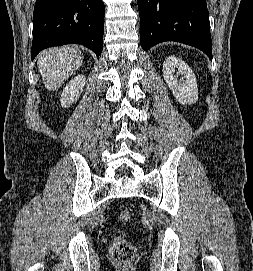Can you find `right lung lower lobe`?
I'll list each match as a JSON object with an SVG mask.
<instances>
[{
    "label": "right lung lower lobe",
    "instance_id": "1",
    "mask_svg": "<svg viewBox=\"0 0 253 271\" xmlns=\"http://www.w3.org/2000/svg\"><path fill=\"white\" fill-rule=\"evenodd\" d=\"M102 0H36L32 60L43 49L77 43L99 56L103 49Z\"/></svg>",
    "mask_w": 253,
    "mask_h": 271
}]
</instances>
